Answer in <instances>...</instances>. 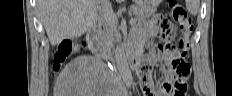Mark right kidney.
Wrapping results in <instances>:
<instances>
[{
	"label": "right kidney",
	"mask_w": 232,
	"mask_h": 96,
	"mask_svg": "<svg viewBox=\"0 0 232 96\" xmlns=\"http://www.w3.org/2000/svg\"><path fill=\"white\" fill-rule=\"evenodd\" d=\"M74 50H77V47H74Z\"/></svg>",
	"instance_id": "ca27d5eb"
}]
</instances>
